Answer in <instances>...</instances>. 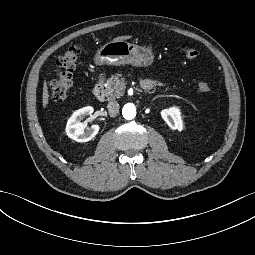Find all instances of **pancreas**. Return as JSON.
I'll return each mask as SVG.
<instances>
[{
    "mask_svg": "<svg viewBox=\"0 0 255 255\" xmlns=\"http://www.w3.org/2000/svg\"><path fill=\"white\" fill-rule=\"evenodd\" d=\"M121 76V74L117 73L107 79L104 95L108 99H116L124 95L126 86L124 78H120Z\"/></svg>",
    "mask_w": 255,
    "mask_h": 255,
    "instance_id": "1",
    "label": "pancreas"
}]
</instances>
